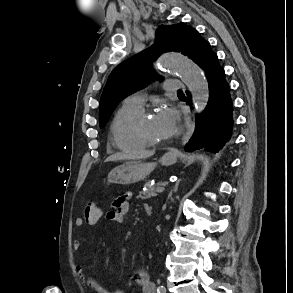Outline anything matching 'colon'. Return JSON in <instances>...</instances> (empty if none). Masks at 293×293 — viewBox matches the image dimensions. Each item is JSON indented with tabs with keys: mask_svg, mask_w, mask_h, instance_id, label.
I'll use <instances>...</instances> for the list:
<instances>
[{
	"mask_svg": "<svg viewBox=\"0 0 293 293\" xmlns=\"http://www.w3.org/2000/svg\"><path fill=\"white\" fill-rule=\"evenodd\" d=\"M101 215L100 207L93 203L89 202L85 205L83 210V218L88 224H95L98 222Z\"/></svg>",
	"mask_w": 293,
	"mask_h": 293,
	"instance_id": "obj_1",
	"label": "colon"
}]
</instances>
